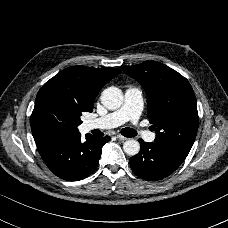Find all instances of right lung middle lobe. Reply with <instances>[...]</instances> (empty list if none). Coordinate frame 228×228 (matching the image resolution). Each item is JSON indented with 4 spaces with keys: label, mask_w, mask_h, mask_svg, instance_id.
<instances>
[{
    "label": "right lung middle lobe",
    "mask_w": 228,
    "mask_h": 228,
    "mask_svg": "<svg viewBox=\"0 0 228 228\" xmlns=\"http://www.w3.org/2000/svg\"><path fill=\"white\" fill-rule=\"evenodd\" d=\"M85 112L69 92L45 83L37 94L31 115V129L36 142L75 134Z\"/></svg>",
    "instance_id": "right-lung-middle-lobe-1"
}]
</instances>
